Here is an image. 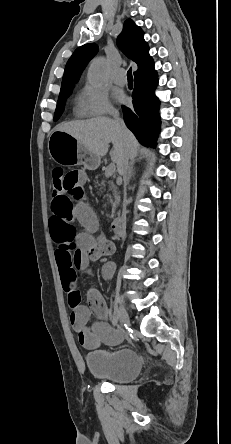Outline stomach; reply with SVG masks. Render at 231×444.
<instances>
[{"mask_svg": "<svg viewBox=\"0 0 231 444\" xmlns=\"http://www.w3.org/2000/svg\"><path fill=\"white\" fill-rule=\"evenodd\" d=\"M51 158L63 165H84L94 170L100 165V157L81 145L76 138L63 131H54L48 142Z\"/></svg>", "mask_w": 231, "mask_h": 444, "instance_id": "1", "label": "stomach"}]
</instances>
